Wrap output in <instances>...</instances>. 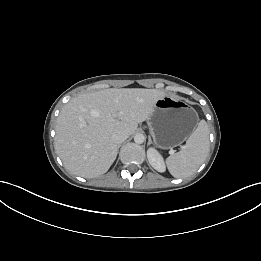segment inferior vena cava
I'll return each mask as SVG.
<instances>
[{"label": "inferior vena cava", "instance_id": "inferior-vena-cava-1", "mask_svg": "<svg viewBox=\"0 0 261 261\" xmlns=\"http://www.w3.org/2000/svg\"><path fill=\"white\" fill-rule=\"evenodd\" d=\"M127 138L128 134L125 132H116L112 135V139L117 145L124 142Z\"/></svg>", "mask_w": 261, "mask_h": 261}]
</instances>
